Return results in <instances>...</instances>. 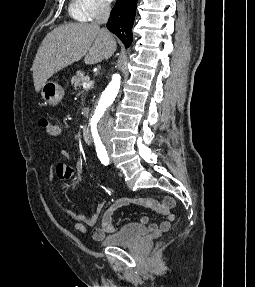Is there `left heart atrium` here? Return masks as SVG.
<instances>
[{"label": "left heart atrium", "mask_w": 255, "mask_h": 287, "mask_svg": "<svg viewBox=\"0 0 255 287\" xmlns=\"http://www.w3.org/2000/svg\"><path fill=\"white\" fill-rule=\"evenodd\" d=\"M74 33H87V32H74ZM73 39H91V38H73ZM73 48H89V47H73Z\"/></svg>", "instance_id": "obj_1"}]
</instances>
